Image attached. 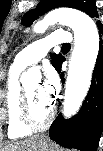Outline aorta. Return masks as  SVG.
I'll return each mask as SVG.
<instances>
[{"instance_id":"762f6f07","label":"aorta","mask_w":103,"mask_h":151,"mask_svg":"<svg viewBox=\"0 0 103 151\" xmlns=\"http://www.w3.org/2000/svg\"><path fill=\"white\" fill-rule=\"evenodd\" d=\"M56 23L69 26L74 32V49L69 62L63 107V115L68 118L80 109L90 88L99 53V33L88 15L69 8L52 10L35 24L34 31L43 33Z\"/></svg>"}]
</instances>
